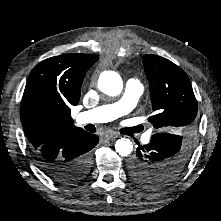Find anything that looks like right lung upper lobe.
<instances>
[{
    "label": "right lung upper lobe",
    "instance_id": "obj_1",
    "mask_svg": "<svg viewBox=\"0 0 221 221\" xmlns=\"http://www.w3.org/2000/svg\"><path fill=\"white\" fill-rule=\"evenodd\" d=\"M97 55L64 54L43 60L31 71L21 103L24 133L34 150L60 135L83 132L73 125L71 105H77L86 72Z\"/></svg>",
    "mask_w": 221,
    "mask_h": 221
}]
</instances>
